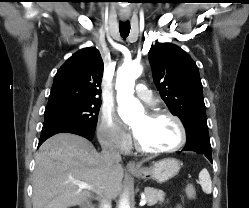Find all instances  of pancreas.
I'll return each mask as SVG.
<instances>
[{
	"instance_id": "obj_1",
	"label": "pancreas",
	"mask_w": 249,
	"mask_h": 208,
	"mask_svg": "<svg viewBox=\"0 0 249 208\" xmlns=\"http://www.w3.org/2000/svg\"><path fill=\"white\" fill-rule=\"evenodd\" d=\"M144 195L146 203L149 206H153L158 202L162 203L165 197V193L162 190H158L153 187H146L144 189Z\"/></svg>"
}]
</instances>
